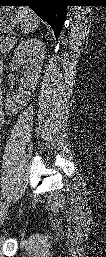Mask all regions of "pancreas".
<instances>
[{"label": "pancreas", "mask_w": 106, "mask_h": 257, "mask_svg": "<svg viewBox=\"0 0 106 257\" xmlns=\"http://www.w3.org/2000/svg\"><path fill=\"white\" fill-rule=\"evenodd\" d=\"M17 43L15 37L7 36L0 39V52L1 54H7Z\"/></svg>", "instance_id": "pancreas-1"}]
</instances>
